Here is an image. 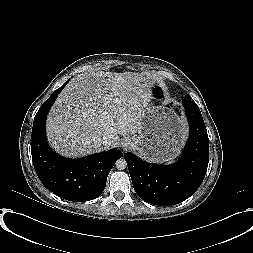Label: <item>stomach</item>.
Wrapping results in <instances>:
<instances>
[{"instance_id": "stomach-1", "label": "stomach", "mask_w": 253, "mask_h": 253, "mask_svg": "<svg viewBox=\"0 0 253 253\" xmlns=\"http://www.w3.org/2000/svg\"><path fill=\"white\" fill-rule=\"evenodd\" d=\"M186 126L176 113L164 106H147L137 134L127 139L130 147L151 162L176 157L186 139Z\"/></svg>"}]
</instances>
